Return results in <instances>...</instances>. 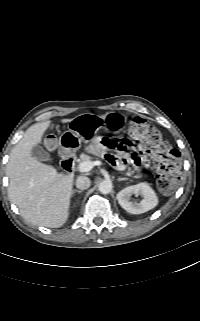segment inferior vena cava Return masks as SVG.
<instances>
[{
    "label": "inferior vena cava",
    "mask_w": 200,
    "mask_h": 321,
    "mask_svg": "<svg viewBox=\"0 0 200 321\" xmlns=\"http://www.w3.org/2000/svg\"><path fill=\"white\" fill-rule=\"evenodd\" d=\"M91 181L86 176H79L76 179V187L81 190H85L90 187Z\"/></svg>",
    "instance_id": "602c4592"
}]
</instances>
